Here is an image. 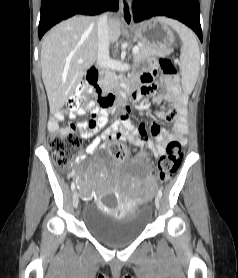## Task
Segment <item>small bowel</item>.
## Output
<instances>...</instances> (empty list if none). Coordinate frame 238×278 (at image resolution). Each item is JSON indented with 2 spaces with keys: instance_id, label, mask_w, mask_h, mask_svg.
<instances>
[{
  "instance_id": "c3829d8e",
  "label": "small bowel",
  "mask_w": 238,
  "mask_h": 278,
  "mask_svg": "<svg viewBox=\"0 0 238 278\" xmlns=\"http://www.w3.org/2000/svg\"><path fill=\"white\" fill-rule=\"evenodd\" d=\"M157 71V62L151 61L149 71L143 72L134 82L139 85L138 90L134 93V98L138 100L141 96L149 94L156 89L153 82ZM166 93L158 95L153 99L154 103H160L163 100L170 102L173 109L170 111H157V116L166 122L174 124L173 131L161 128L157 123H152L149 127L153 138L148 137V127L146 123L135 125L130 120L129 112H125L115 121L109 128L104 130L100 135L99 132L103 129L107 122L108 111L106 109H96L91 112L89 119L80 122L77 128L81 132L83 139L92 138V141L86 148L87 154H94L98 149L105 147V144L112 140L127 141L134 146L145 148L151 151L155 157L164 154L166 145L171 141H177L180 144H186L187 120H186V103L187 97L182 92L177 80H165ZM82 111L76 112H55L50 121V130H71L62 128L59 122L68 116L75 118L82 114ZM80 160L84 159V155L79 156ZM147 180L152 181L151 175H147Z\"/></svg>"
}]
</instances>
